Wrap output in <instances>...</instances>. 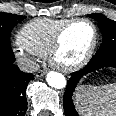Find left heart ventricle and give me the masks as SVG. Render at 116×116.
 <instances>
[{"instance_id":"left-heart-ventricle-1","label":"left heart ventricle","mask_w":116,"mask_h":116,"mask_svg":"<svg viewBox=\"0 0 116 116\" xmlns=\"http://www.w3.org/2000/svg\"><path fill=\"white\" fill-rule=\"evenodd\" d=\"M93 37L90 25L77 23L65 33L58 60L63 64H73L79 61L88 50Z\"/></svg>"}]
</instances>
